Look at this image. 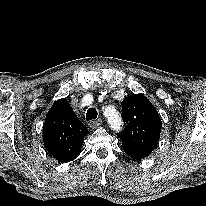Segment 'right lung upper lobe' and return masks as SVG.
Returning <instances> with one entry per match:
<instances>
[{
    "instance_id": "1",
    "label": "right lung upper lobe",
    "mask_w": 206,
    "mask_h": 206,
    "mask_svg": "<svg viewBox=\"0 0 206 206\" xmlns=\"http://www.w3.org/2000/svg\"><path fill=\"white\" fill-rule=\"evenodd\" d=\"M88 133L65 98L54 102L43 126L44 146L51 156L63 163L74 160Z\"/></svg>"
}]
</instances>
